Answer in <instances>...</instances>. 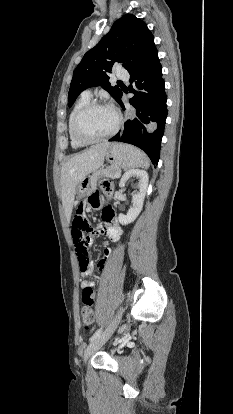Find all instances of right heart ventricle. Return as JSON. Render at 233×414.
I'll return each mask as SVG.
<instances>
[{
    "instance_id": "right-heart-ventricle-1",
    "label": "right heart ventricle",
    "mask_w": 233,
    "mask_h": 414,
    "mask_svg": "<svg viewBox=\"0 0 233 414\" xmlns=\"http://www.w3.org/2000/svg\"><path fill=\"white\" fill-rule=\"evenodd\" d=\"M88 102H90V97L87 94H82L80 96V98L77 100V102L75 103L73 109L70 112L69 118H68V134H69V138H70V143L71 146L75 149H79L82 148L84 146H86L87 144H83L78 142L77 140H75V138L73 137L72 134V124H73V120L76 116V114L78 113V111Z\"/></svg>"
}]
</instances>
